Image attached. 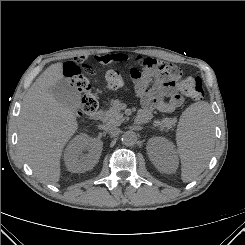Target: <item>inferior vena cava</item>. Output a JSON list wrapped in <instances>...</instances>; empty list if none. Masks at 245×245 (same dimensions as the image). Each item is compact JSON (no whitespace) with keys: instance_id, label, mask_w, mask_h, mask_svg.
I'll list each match as a JSON object with an SVG mask.
<instances>
[{"instance_id":"602c4592","label":"inferior vena cava","mask_w":245,"mask_h":245,"mask_svg":"<svg viewBox=\"0 0 245 245\" xmlns=\"http://www.w3.org/2000/svg\"><path fill=\"white\" fill-rule=\"evenodd\" d=\"M105 130L110 133V134H113V135H118L120 133V129L116 126H112V125H107L105 127Z\"/></svg>"}]
</instances>
